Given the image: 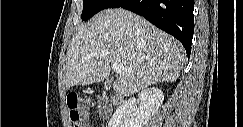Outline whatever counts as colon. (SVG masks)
Returning <instances> with one entry per match:
<instances>
[{
  "label": "colon",
  "mask_w": 243,
  "mask_h": 127,
  "mask_svg": "<svg viewBox=\"0 0 243 127\" xmlns=\"http://www.w3.org/2000/svg\"><path fill=\"white\" fill-rule=\"evenodd\" d=\"M67 106L73 127H84V115L86 105L81 101L80 96L73 92L67 96Z\"/></svg>",
  "instance_id": "1"
}]
</instances>
